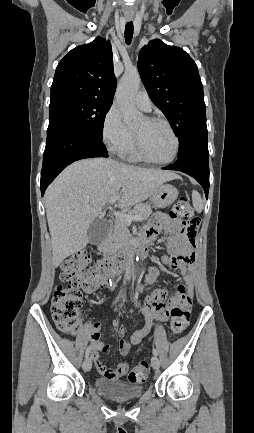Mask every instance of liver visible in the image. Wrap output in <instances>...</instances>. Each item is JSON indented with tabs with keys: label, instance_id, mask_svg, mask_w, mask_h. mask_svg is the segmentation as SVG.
<instances>
[{
	"label": "liver",
	"instance_id": "obj_1",
	"mask_svg": "<svg viewBox=\"0 0 254 433\" xmlns=\"http://www.w3.org/2000/svg\"><path fill=\"white\" fill-rule=\"evenodd\" d=\"M177 177L170 171L109 158L83 159L68 166L45 194L54 266L87 245L90 224L114 196L120 194L117 205L126 208L146 200L158 186Z\"/></svg>",
	"mask_w": 254,
	"mask_h": 433
}]
</instances>
